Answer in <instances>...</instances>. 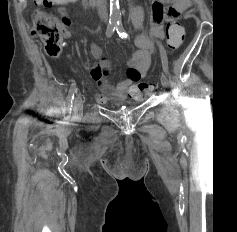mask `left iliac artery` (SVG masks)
Masks as SVG:
<instances>
[{"label":"left iliac artery","instance_id":"1","mask_svg":"<svg viewBox=\"0 0 237 232\" xmlns=\"http://www.w3.org/2000/svg\"><path fill=\"white\" fill-rule=\"evenodd\" d=\"M116 30L121 38L127 37V34L125 33L124 27L121 23H118L116 25ZM157 44H158V47L160 50L163 71L167 74L168 73V60H167L166 51H165L163 45L159 41H157Z\"/></svg>","mask_w":237,"mask_h":232}]
</instances>
